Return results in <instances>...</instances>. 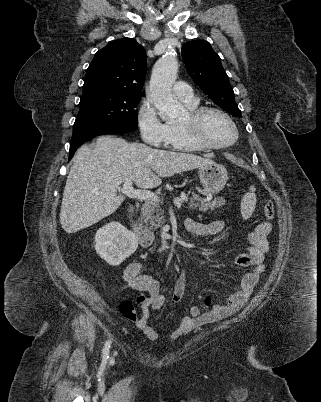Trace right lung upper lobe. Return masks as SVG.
Returning <instances> with one entry per match:
<instances>
[{"mask_svg":"<svg viewBox=\"0 0 321 402\" xmlns=\"http://www.w3.org/2000/svg\"><path fill=\"white\" fill-rule=\"evenodd\" d=\"M146 51L131 38L109 42L89 65L83 89H105L141 96L146 76Z\"/></svg>","mask_w":321,"mask_h":402,"instance_id":"cb5924a9","label":"right lung upper lobe"}]
</instances>
